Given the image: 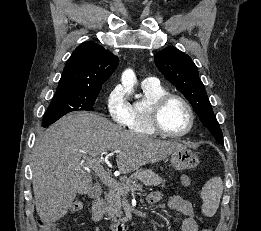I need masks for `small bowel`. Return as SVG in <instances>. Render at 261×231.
<instances>
[{"mask_svg": "<svg viewBox=\"0 0 261 231\" xmlns=\"http://www.w3.org/2000/svg\"><path fill=\"white\" fill-rule=\"evenodd\" d=\"M181 185L188 188L191 184L187 175L180 177ZM163 200V194L160 191L150 193L147 196V202L150 205H156ZM168 207L179 212L184 216L181 231H211L209 228H200L195 218L192 204L185 198L179 195L171 196L168 200Z\"/></svg>", "mask_w": 261, "mask_h": 231, "instance_id": "small-bowel-1", "label": "small bowel"}]
</instances>
